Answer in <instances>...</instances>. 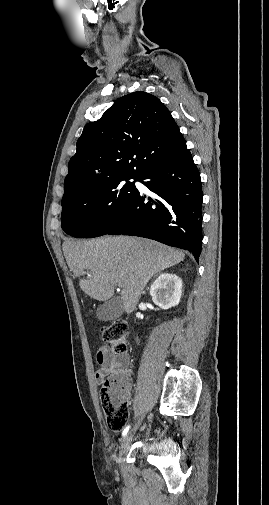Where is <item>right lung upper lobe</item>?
Here are the masks:
<instances>
[{
  "label": "right lung upper lobe",
  "instance_id": "obj_1",
  "mask_svg": "<svg viewBox=\"0 0 269 505\" xmlns=\"http://www.w3.org/2000/svg\"><path fill=\"white\" fill-rule=\"evenodd\" d=\"M185 140L169 110L137 91L119 98L101 119L85 125L70 159L62 201L108 182L140 175Z\"/></svg>",
  "mask_w": 269,
  "mask_h": 505
}]
</instances>
